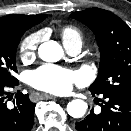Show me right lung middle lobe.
<instances>
[{"instance_id": "dd1d6c3e", "label": "right lung middle lobe", "mask_w": 131, "mask_h": 131, "mask_svg": "<svg viewBox=\"0 0 131 131\" xmlns=\"http://www.w3.org/2000/svg\"><path fill=\"white\" fill-rule=\"evenodd\" d=\"M25 31L0 30V84L16 80V50Z\"/></svg>"}]
</instances>
